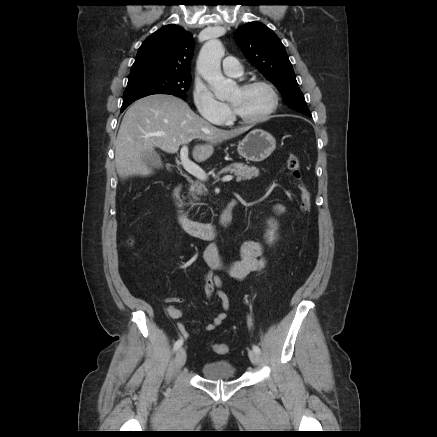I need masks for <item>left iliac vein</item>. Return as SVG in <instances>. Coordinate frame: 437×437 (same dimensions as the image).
<instances>
[{"label":"left iliac vein","mask_w":437,"mask_h":437,"mask_svg":"<svg viewBox=\"0 0 437 437\" xmlns=\"http://www.w3.org/2000/svg\"><path fill=\"white\" fill-rule=\"evenodd\" d=\"M249 358L254 365H257L259 363L260 356H259V353H257L256 351L250 350L249 351Z\"/></svg>","instance_id":"left-iliac-vein-1"}]
</instances>
